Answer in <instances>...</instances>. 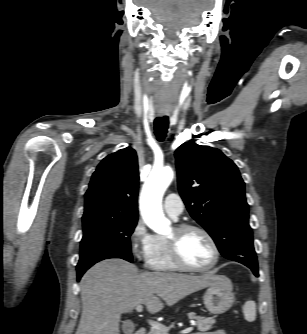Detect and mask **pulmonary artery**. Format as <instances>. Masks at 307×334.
<instances>
[{
    "instance_id": "1",
    "label": "pulmonary artery",
    "mask_w": 307,
    "mask_h": 334,
    "mask_svg": "<svg viewBox=\"0 0 307 334\" xmlns=\"http://www.w3.org/2000/svg\"><path fill=\"white\" fill-rule=\"evenodd\" d=\"M165 213L172 219L177 220L183 212L184 205L181 197L176 193L168 194L163 203Z\"/></svg>"
}]
</instances>
